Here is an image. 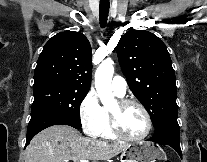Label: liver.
I'll use <instances>...</instances> for the list:
<instances>
[{"instance_id":"6515ba94","label":"liver","mask_w":207,"mask_h":162,"mask_svg":"<svg viewBox=\"0 0 207 162\" xmlns=\"http://www.w3.org/2000/svg\"><path fill=\"white\" fill-rule=\"evenodd\" d=\"M126 143H108L83 137L68 125H53L38 133L25 150V162L64 160H109L128 148Z\"/></svg>"}]
</instances>
